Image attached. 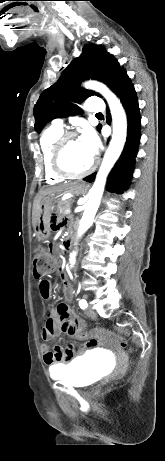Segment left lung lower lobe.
<instances>
[{
	"instance_id": "0a47b994",
	"label": "left lung lower lobe",
	"mask_w": 165,
	"mask_h": 461,
	"mask_svg": "<svg viewBox=\"0 0 165 461\" xmlns=\"http://www.w3.org/2000/svg\"><path fill=\"white\" fill-rule=\"evenodd\" d=\"M112 91L120 98L127 115V138L120 159L111 171L108 180V191L123 193L127 188L134 170L135 157L140 140L141 117L134 86L126 71H123L116 79ZM107 114L109 111L107 110ZM96 172L85 177L83 180L92 182Z\"/></svg>"
}]
</instances>
